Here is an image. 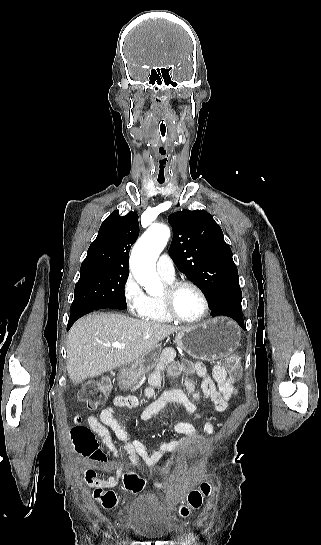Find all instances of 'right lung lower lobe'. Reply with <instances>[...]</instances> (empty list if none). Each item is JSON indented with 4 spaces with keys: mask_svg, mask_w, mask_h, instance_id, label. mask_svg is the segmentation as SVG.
<instances>
[{
    "mask_svg": "<svg viewBox=\"0 0 321 545\" xmlns=\"http://www.w3.org/2000/svg\"><path fill=\"white\" fill-rule=\"evenodd\" d=\"M127 308V305H126V301L125 302H121V303H118L116 305H113V307L111 309H126ZM94 309H81V310H77V311H74L72 313H70V318H69V322H68V326H67V329L69 330V328L73 325V323L79 319L80 317H82L83 315L93 311Z\"/></svg>",
    "mask_w": 321,
    "mask_h": 545,
    "instance_id": "obj_1",
    "label": "right lung lower lobe"
}]
</instances>
